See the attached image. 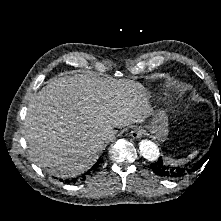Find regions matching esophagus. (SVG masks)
Instances as JSON below:
<instances>
[{
	"label": "esophagus",
	"mask_w": 221,
	"mask_h": 221,
	"mask_svg": "<svg viewBox=\"0 0 221 221\" xmlns=\"http://www.w3.org/2000/svg\"><path fill=\"white\" fill-rule=\"evenodd\" d=\"M143 129L141 128V127H135L132 131H131V133H130V135H131V137H133L134 139H140L141 137H142V135H143Z\"/></svg>",
	"instance_id": "34e87169"
}]
</instances>
